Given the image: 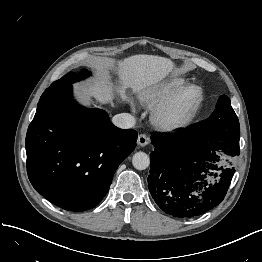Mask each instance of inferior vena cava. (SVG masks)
Returning a JSON list of instances; mask_svg holds the SVG:
<instances>
[{
    "instance_id": "obj_1",
    "label": "inferior vena cava",
    "mask_w": 262,
    "mask_h": 262,
    "mask_svg": "<svg viewBox=\"0 0 262 262\" xmlns=\"http://www.w3.org/2000/svg\"><path fill=\"white\" fill-rule=\"evenodd\" d=\"M112 122L118 128L128 129L135 125V118L129 113H121L115 115Z\"/></svg>"
}]
</instances>
